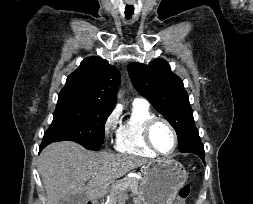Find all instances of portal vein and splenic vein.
<instances>
[{
    "label": "portal vein and splenic vein",
    "mask_w": 253,
    "mask_h": 204,
    "mask_svg": "<svg viewBox=\"0 0 253 204\" xmlns=\"http://www.w3.org/2000/svg\"><path fill=\"white\" fill-rule=\"evenodd\" d=\"M123 188H126L128 186V183H124L121 185Z\"/></svg>",
    "instance_id": "18ae733b"
}]
</instances>
